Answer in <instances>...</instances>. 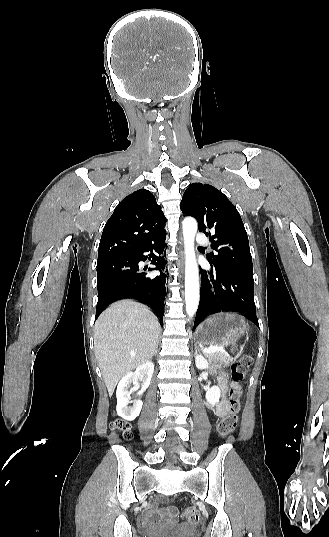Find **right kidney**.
I'll use <instances>...</instances> for the list:
<instances>
[{"mask_svg":"<svg viewBox=\"0 0 329 537\" xmlns=\"http://www.w3.org/2000/svg\"><path fill=\"white\" fill-rule=\"evenodd\" d=\"M154 372V363L147 361L143 365L139 366L134 372H130L125 375L117 386L116 397H117V414L125 420L132 421L137 416H139L142 409V401L135 399L133 401V406H129L130 403V393L129 387L131 384L136 385L138 378L143 381L141 390L138 391L137 395H141L146 388L150 385L151 378Z\"/></svg>","mask_w":329,"mask_h":537,"instance_id":"obj_1","label":"right kidney"}]
</instances>
